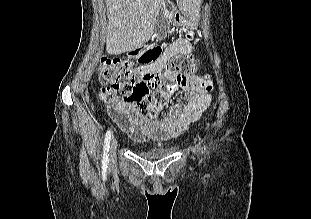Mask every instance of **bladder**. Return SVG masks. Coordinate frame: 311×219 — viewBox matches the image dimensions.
<instances>
[{
  "instance_id": "bladder-1",
  "label": "bladder",
  "mask_w": 311,
  "mask_h": 219,
  "mask_svg": "<svg viewBox=\"0 0 311 219\" xmlns=\"http://www.w3.org/2000/svg\"><path fill=\"white\" fill-rule=\"evenodd\" d=\"M177 150L175 146H155L142 152V156L147 159H161L172 155Z\"/></svg>"
}]
</instances>
